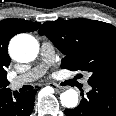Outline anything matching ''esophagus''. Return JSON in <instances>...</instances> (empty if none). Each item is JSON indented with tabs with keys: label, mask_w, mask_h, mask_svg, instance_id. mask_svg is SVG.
I'll return each mask as SVG.
<instances>
[{
	"label": "esophagus",
	"mask_w": 116,
	"mask_h": 116,
	"mask_svg": "<svg viewBox=\"0 0 116 116\" xmlns=\"http://www.w3.org/2000/svg\"><path fill=\"white\" fill-rule=\"evenodd\" d=\"M49 85H50L55 91H57V92H60V91L63 90L62 87L58 86V85L55 84V83H50Z\"/></svg>",
	"instance_id": "obj_1"
}]
</instances>
